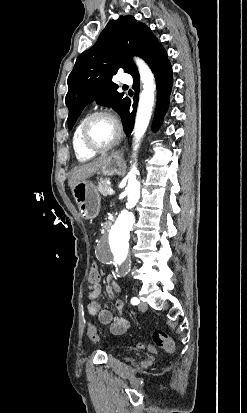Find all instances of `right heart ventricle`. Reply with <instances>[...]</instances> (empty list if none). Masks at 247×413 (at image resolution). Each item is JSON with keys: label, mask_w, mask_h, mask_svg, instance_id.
<instances>
[{"label": "right heart ventricle", "mask_w": 247, "mask_h": 413, "mask_svg": "<svg viewBox=\"0 0 247 413\" xmlns=\"http://www.w3.org/2000/svg\"><path fill=\"white\" fill-rule=\"evenodd\" d=\"M84 121L85 120H82L81 123L75 129V132L73 134V140H72L75 155H76V158L79 162L89 161L97 155V153H95V152L86 151L80 143L79 135H80V130H81V127H82Z\"/></svg>", "instance_id": "right-heart-ventricle-1"}]
</instances>
